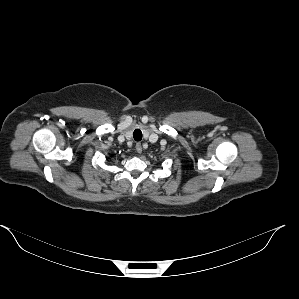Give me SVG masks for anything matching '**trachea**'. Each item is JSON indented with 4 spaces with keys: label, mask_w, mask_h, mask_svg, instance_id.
<instances>
[{
    "label": "trachea",
    "mask_w": 299,
    "mask_h": 299,
    "mask_svg": "<svg viewBox=\"0 0 299 299\" xmlns=\"http://www.w3.org/2000/svg\"><path fill=\"white\" fill-rule=\"evenodd\" d=\"M133 137L135 141H141L142 140V132L140 129H136L133 132Z\"/></svg>",
    "instance_id": "obj_1"
}]
</instances>
